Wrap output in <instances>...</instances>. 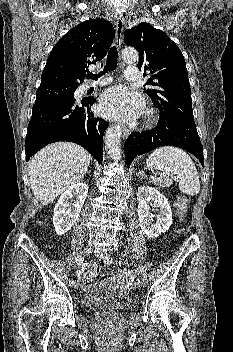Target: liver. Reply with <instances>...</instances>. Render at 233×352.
<instances>
[{"label":"liver","mask_w":233,"mask_h":352,"mask_svg":"<svg viewBox=\"0 0 233 352\" xmlns=\"http://www.w3.org/2000/svg\"><path fill=\"white\" fill-rule=\"evenodd\" d=\"M90 154L81 146L58 142L47 145L29 162L28 175L33 194L43 205L81 181L90 163Z\"/></svg>","instance_id":"liver-1"}]
</instances>
